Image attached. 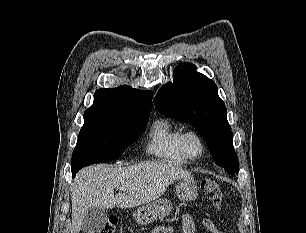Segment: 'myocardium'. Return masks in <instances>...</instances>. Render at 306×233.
I'll return each mask as SVG.
<instances>
[{
    "label": "myocardium",
    "instance_id": "1",
    "mask_svg": "<svg viewBox=\"0 0 306 233\" xmlns=\"http://www.w3.org/2000/svg\"><path fill=\"white\" fill-rule=\"evenodd\" d=\"M190 139H195L199 143L200 150H199V153L196 155H193L189 152L188 142ZM181 149H182V153L185 159L190 160V161L198 160L205 153V150H206L205 141L203 137L197 131L189 130L187 132H184L182 135Z\"/></svg>",
    "mask_w": 306,
    "mask_h": 233
}]
</instances>
